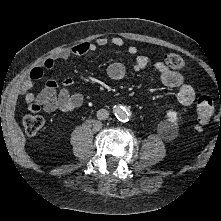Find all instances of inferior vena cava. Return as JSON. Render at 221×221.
<instances>
[{
	"label": "inferior vena cava",
	"instance_id": "1",
	"mask_svg": "<svg viewBox=\"0 0 221 221\" xmlns=\"http://www.w3.org/2000/svg\"><path fill=\"white\" fill-rule=\"evenodd\" d=\"M109 117V112L106 109H100L97 111V118L99 120H106Z\"/></svg>",
	"mask_w": 221,
	"mask_h": 221
}]
</instances>
